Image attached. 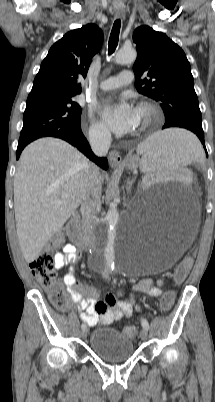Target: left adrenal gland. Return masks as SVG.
I'll return each mask as SVG.
<instances>
[{
	"label": "left adrenal gland",
	"mask_w": 215,
	"mask_h": 402,
	"mask_svg": "<svg viewBox=\"0 0 215 402\" xmlns=\"http://www.w3.org/2000/svg\"><path fill=\"white\" fill-rule=\"evenodd\" d=\"M134 181H135V179L130 180L129 178L126 181V190H127L128 194L131 193V188H132V185H133Z\"/></svg>",
	"instance_id": "1"
}]
</instances>
